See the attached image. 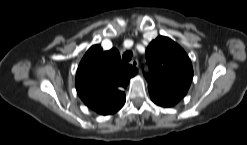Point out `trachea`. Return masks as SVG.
<instances>
[{"label":"trachea","instance_id":"1","mask_svg":"<svg viewBox=\"0 0 247 145\" xmlns=\"http://www.w3.org/2000/svg\"><path fill=\"white\" fill-rule=\"evenodd\" d=\"M132 57H133L132 51H127V52H125V53L123 54L122 60H123L124 62H129V61L132 59Z\"/></svg>","mask_w":247,"mask_h":145}]
</instances>
